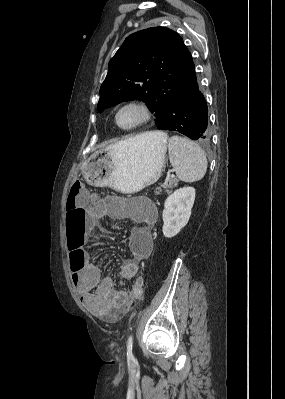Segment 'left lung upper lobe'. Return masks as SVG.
Here are the masks:
<instances>
[{
    "instance_id": "left-lung-upper-lobe-1",
    "label": "left lung upper lobe",
    "mask_w": 285,
    "mask_h": 399,
    "mask_svg": "<svg viewBox=\"0 0 285 399\" xmlns=\"http://www.w3.org/2000/svg\"><path fill=\"white\" fill-rule=\"evenodd\" d=\"M195 73L191 53L178 33L153 27L128 36L109 62L100 88L98 111L123 101L141 100L160 129L177 89Z\"/></svg>"
}]
</instances>
